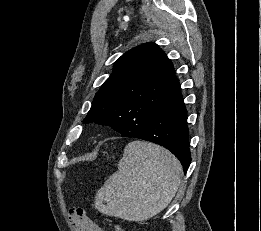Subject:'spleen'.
I'll list each match as a JSON object with an SVG mask.
<instances>
[{"label": "spleen", "instance_id": "spleen-1", "mask_svg": "<svg viewBox=\"0 0 261 231\" xmlns=\"http://www.w3.org/2000/svg\"><path fill=\"white\" fill-rule=\"evenodd\" d=\"M181 170L180 162L164 148L144 141L130 142L118 171L96 193L95 208L128 221L149 219L175 196Z\"/></svg>", "mask_w": 261, "mask_h": 231}]
</instances>
